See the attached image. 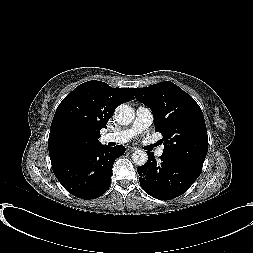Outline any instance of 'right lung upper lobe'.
Wrapping results in <instances>:
<instances>
[{
	"label": "right lung upper lobe",
	"instance_id": "cb5924a9",
	"mask_svg": "<svg viewBox=\"0 0 253 253\" xmlns=\"http://www.w3.org/2000/svg\"><path fill=\"white\" fill-rule=\"evenodd\" d=\"M133 99L131 88H112L101 81L76 87L59 104L51 124V163L100 145V130L106 128L115 109Z\"/></svg>",
	"mask_w": 253,
	"mask_h": 253
}]
</instances>
